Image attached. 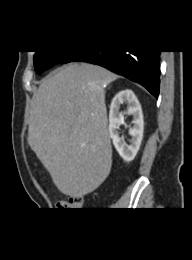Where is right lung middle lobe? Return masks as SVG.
Here are the masks:
<instances>
[{"label": "right lung middle lobe", "mask_w": 192, "mask_h": 260, "mask_svg": "<svg viewBox=\"0 0 192 260\" xmlns=\"http://www.w3.org/2000/svg\"><path fill=\"white\" fill-rule=\"evenodd\" d=\"M69 51H36L34 55V68L37 73L49 69L57 63H61Z\"/></svg>", "instance_id": "dd1d6c3e"}]
</instances>
